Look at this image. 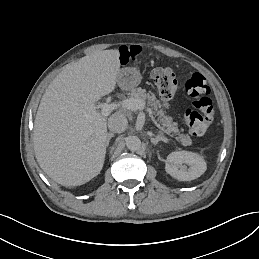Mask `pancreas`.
I'll list each match as a JSON object with an SVG mask.
<instances>
[{
  "label": "pancreas",
  "mask_w": 259,
  "mask_h": 259,
  "mask_svg": "<svg viewBox=\"0 0 259 259\" xmlns=\"http://www.w3.org/2000/svg\"><path fill=\"white\" fill-rule=\"evenodd\" d=\"M131 98L135 99H142L144 101L147 100L148 106H150L154 112L153 114L158 116L157 122L161 124L160 128L164 131H166L167 134L174 133L175 135H178L176 137V140L181 141L183 144H190L191 138L187 134H181L177 123L173 122L172 117L166 116L165 111L163 109H159L161 107L160 101L156 99L155 95L152 92L146 93L145 89L137 88L133 89L130 94ZM181 131L183 132L184 129L181 128Z\"/></svg>",
  "instance_id": "pancreas-1"
}]
</instances>
